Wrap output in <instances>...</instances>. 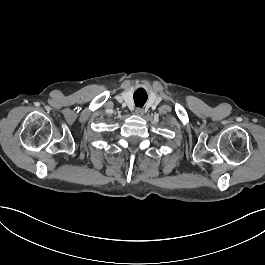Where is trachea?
Listing matches in <instances>:
<instances>
[{"label": "trachea", "mask_w": 265, "mask_h": 265, "mask_svg": "<svg viewBox=\"0 0 265 265\" xmlns=\"http://www.w3.org/2000/svg\"><path fill=\"white\" fill-rule=\"evenodd\" d=\"M134 103L137 107L142 108L147 101V93L143 89H138L133 95Z\"/></svg>", "instance_id": "obj_1"}]
</instances>
